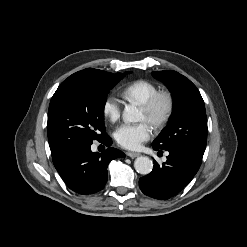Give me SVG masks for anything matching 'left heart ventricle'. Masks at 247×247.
Instances as JSON below:
<instances>
[{"instance_id":"1","label":"left heart ventricle","mask_w":247,"mask_h":247,"mask_svg":"<svg viewBox=\"0 0 247 247\" xmlns=\"http://www.w3.org/2000/svg\"><path fill=\"white\" fill-rule=\"evenodd\" d=\"M162 109H163V104H160L159 107H158V112H161ZM140 119H141V120H146L147 122L150 123L147 114H146L145 111H143L142 109L140 110Z\"/></svg>"}]
</instances>
